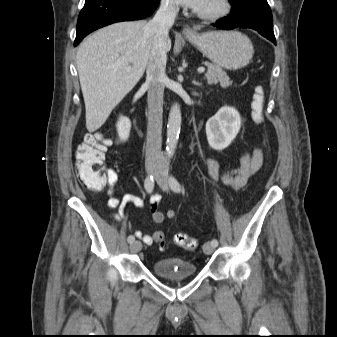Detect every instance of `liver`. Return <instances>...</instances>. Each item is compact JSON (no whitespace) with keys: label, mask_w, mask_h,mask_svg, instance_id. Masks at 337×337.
<instances>
[{"label":"liver","mask_w":337,"mask_h":337,"mask_svg":"<svg viewBox=\"0 0 337 337\" xmlns=\"http://www.w3.org/2000/svg\"><path fill=\"white\" fill-rule=\"evenodd\" d=\"M147 24L133 21L109 25L89 36L78 48L77 70L89 132L105 123L143 76L154 39ZM170 48L171 41L167 39V51Z\"/></svg>","instance_id":"6515ba94"}]
</instances>
